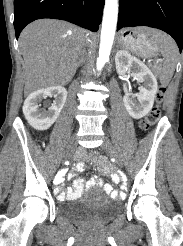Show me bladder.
<instances>
[{"label":"bladder","instance_id":"31cf9c89","mask_svg":"<svg viewBox=\"0 0 183 246\" xmlns=\"http://www.w3.org/2000/svg\"><path fill=\"white\" fill-rule=\"evenodd\" d=\"M120 210L121 204L107 197L99 189H92L89 195L60 207V213L73 221L106 220L118 214Z\"/></svg>","mask_w":183,"mask_h":246}]
</instances>
